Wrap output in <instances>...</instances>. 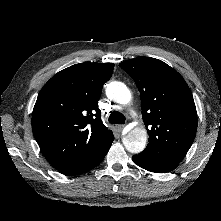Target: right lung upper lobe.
Returning a JSON list of instances; mask_svg holds the SVG:
<instances>
[{"label": "right lung upper lobe", "mask_w": 221, "mask_h": 221, "mask_svg": "<svg viewBox=\"0 0 221 221\" xmlns=\"http://www.w3.org/2000/svg\"><path fill=\"white\" fill-rule=\"evenodd\" d=\"M113 63H79L41 89L32 114L33 135L48 162L70 175L108 152L114 136L101 121L98 100Z\"/></svg>", "instance_id": "cb5924a9"}]
</instances>
